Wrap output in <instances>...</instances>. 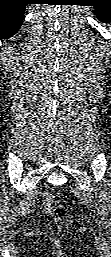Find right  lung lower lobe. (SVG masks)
Here are the masks:
<instances>
[{"mask_svg":"<svg viewBox=\"0 0 111 257\" xmlns=\"http://www.w3.org/2000/svg\"><path fill=\"white\" fill-rule=\"evenodd\" d=\"M27 0H0V38L12 37L22 25Z\"/></svg>","mask_w":111,"mask_h":257,"instance_id":"98d812e1","label":"right lung lower lobe"}]
</instances>
